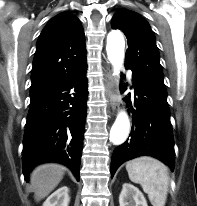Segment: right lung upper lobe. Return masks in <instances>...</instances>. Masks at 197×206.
Masks as SVG:
<instances>
[{
  "label": "right lung upper lobe",
  "mask_w": 197,
  "mask_h": 206,
  "mask_svg": "<svg viewBox=\"0 0 197 206\" xmlns=\"http://www.w3.org/2000/svg\"><path fill=\"white\" fill-rule=\"evenodd\" d=\"M86 64L84 30L79 19L64 12L52 18L39 36L30 93H45Z\"/></svg>",
  "instance_id": "obj_1"
}]
</instances>
